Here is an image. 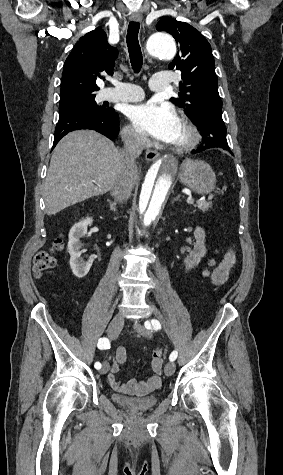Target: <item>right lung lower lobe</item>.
I'll list each match as a JSON object with an SVG mask.
<instances>
[{
    "instance_id": "98d812e1",
    "label": "right lung lower lobe",
    "mask_w": 283,
    "mask_h": 475,
    "mask_svg": "<svg viewBox=\"0 0 283 475\" xmlns=\"http://www.w3.org/2000/svg\"><path fill=\"white\" fill-rule=\"evenodd\" d=\"M89 129L97 131L109 139H114L119 133L118 114L110 108L106 116L96 115L84 108H72L59 112L52 149L62 137L74 130Z\"/></svg>"
}]
</instances>
